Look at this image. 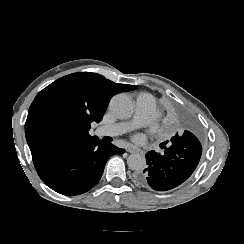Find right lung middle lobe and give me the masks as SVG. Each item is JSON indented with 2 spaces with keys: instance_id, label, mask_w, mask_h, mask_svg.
Instances as JSON below:
<instances>
[{
  "instance_id": "dd1d6c3e",
  "label": "right lung middle lobe",
  "mask_w": 244,
  "mask_h": 244,
  "mask_svg": "<svg viewBox=\"0 0 244 244\" xmlns=\"http://www.w3.org/2000/svg\"><path fill=\"white\" fill-rule=\"evenodd\" d=\"M63 123H64V119L62 117L52 116V117L45 118L42 121V127L43 129L48 131H55L61 128L63 126Z\"/></svg>"
}]
</instances>
